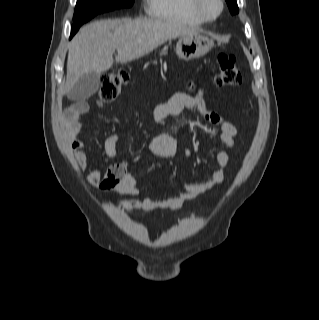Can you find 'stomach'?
<instances>
[{
    "mask_svg": "<svg viewBox=\"0 0 319 320\" xmlns=\"http://www.w3.org/2000/svg\"><path fill=\"white\" fill-rule=\"evenodd\" d=\"M213 46L214 42L212 39L195 34L180 37L175 50L179 59L189 61L207 54Z\"/></svg>",
    "mask_w": 319,
    "mask_h": 320,
    "instance_id": "obj_1",
    "label": "stomach"
}]
</instances>
